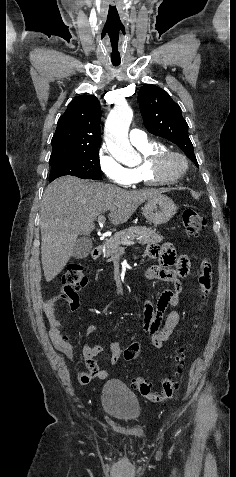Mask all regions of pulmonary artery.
I'll return each mask as SVG.
<instances>
[{
  "instance_id": "1",
  "label": "pulmonary artery",
  "mask_w": 236,
  "mask_h": 477,
  "mask_svg": "<svg viewBox=\"0 0 236 477\" xmlns=\"http://www.w3.org/2000/svg\"><path fill=\"white\" fill-rule=\"evenodd\" d=\"M129 139L133 145H139L147 141V135L144 131L139 129H132L129 132Z\"/></svg>"
}]
</instances>
